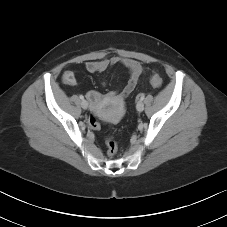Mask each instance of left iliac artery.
I'll return each instance as SVG.
<instances>
[{
    "mask_svg": "<svg viewBox=\"0 0 227 227\" xmlns=\"http://www.w3.org/2000/svg\"><path fill=\"white\" fill-rule=\"evenodd\" d=\"M144 98H145V95L144 94H141L140 100H143Z\"/></svg>",
    "mask_w": 227,
    "mask_h": 227,
    "instance_id": "left-iliac-artery-1",
    "label": "left iliac artery"
}]
</instances>
